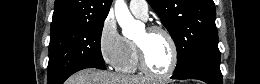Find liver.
Masks as SVG:
<instances>
[{"mask_svg": "<svg viewBox=\"0 0 260 84\" xmlns=\"http://www.w3.org/2000/svg\"><path fill=\"white\" fill-rule=\"evenodd\" d=\"M150 80L140 76L117 75L97 69H84L75 73L69 84H149Z\"/></svg>", "mask_w": 260, "mask_h": 84, "instance_id": "1", "label": "liver"}]
</instances>
